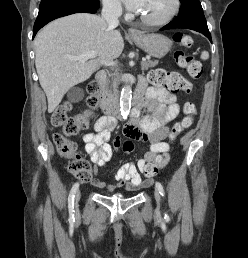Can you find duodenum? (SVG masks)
I'll return each instance as SVG.
<instances>
[{"instance_id": "410a0bca", "label": "duodenum", "mask_w": 248, "mask_h": 258, "mask_svg": "<svg viewBox=\"0 0 248 258\" xmlns=\"http://www.w3.org/2000/svg\"><path fill=\"white\" fill-rule=\"evenodd\" d=\"M106 80V72L100 70L95 75V82L99 86V91L97 93L99 105L102 111L111 118H121V106L119 100L111 97L104 89V83ZM145 85L143 83H139L134 91L133 96V109H132V116L133 114L139 109L140 107V100L143 95Z\"/></svg>"}]
</instances>
